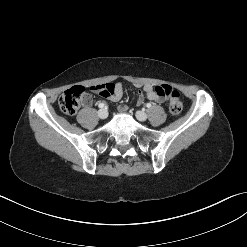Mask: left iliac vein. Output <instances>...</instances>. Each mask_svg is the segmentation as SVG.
<instances>
[{
	"label": "left iliac vein",
	"mask_w": 247,
	"mask_h": 247,
	"mask_svg": "<svg viewBox=\"0 0 247 247\" xmlns=\"http://www.w3.org/2000/svg\"><path fill=\"white\" fill-rule=\"evenodd\" d=\"M136 118L139 120V121H145L147 119V114L143 111H137L136 112Z\"/></svg>",
	"instance_id": "4c4485c4"
}]
</instances>
